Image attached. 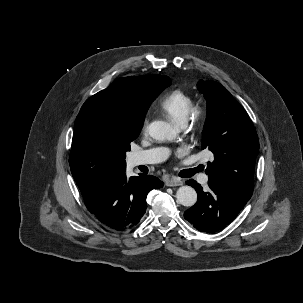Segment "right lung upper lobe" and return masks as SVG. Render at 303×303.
<instances>
[{"label":"right lung upper lobe","mask_w":303,"mask_h":303,"mask_svg":"<svg viewBox=\"0 0 303 303\" xmlns=\"http://www.w3.org/2000/svg\"><path fill=\"white\" fill-rule=\"evenodd\" d=\"M170 83L169 77L162 75L124 77L86 100L75 120L69 158L71 168L90 174L79 188L81 192L94 182L126 169L125 161L94 140V115H114L131 131H140L151 102Z\"/></svg>","instance_id":"1"}]
</instances>
